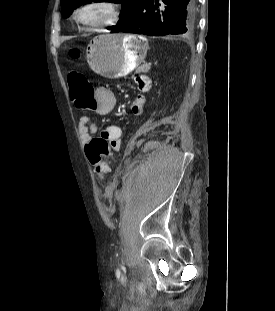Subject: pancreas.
Returning <instances> with one entry per match:
<instances>
[{
  "label": "pancreas",
  "instance_id": "1",
  "mask_svg": "<svg viewBox=\"0 0 275 311\" xmlns=\"http://www.w3.org/2000/svg\"><path fill=\"white\" fill-rule=\"evenodd\" d=\"M149 70V66L147 64L142 65L137 68L136 73L147 72Z\"/></svg>",
  "mask_w": 275,
  "mask_h": 311
}]
</instances>
